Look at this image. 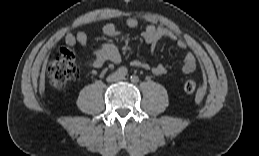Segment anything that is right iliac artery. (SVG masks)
Instances as JSON below:
<instances>
[{
	"label": "right iliac artery",
	"instance_id": "1",
	"mask_svg": "<svg viewBox=\"0 0 259 156\" xmlns=\"http://www.w3.org/2000/svg\"><path fill=\"white\" fill-rule=\"evenodd\" d=\"M117 74L124 77L128 74V70L125 67H119L117 69Z\"/></svg>",
	"mask_w": 259,
	"mask_h": 156
}]
</instances>
